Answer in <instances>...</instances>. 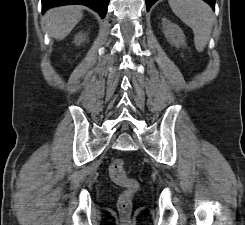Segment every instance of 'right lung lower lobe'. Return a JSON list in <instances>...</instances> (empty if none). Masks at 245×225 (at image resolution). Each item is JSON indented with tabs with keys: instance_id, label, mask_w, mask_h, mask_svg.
I'll return each instance as SVG.
<instances>
[{
	"instance_id": "right-lung-lower-lobe-1",
	"label": "right lung lower lobe",
	"mask_w": 245,
	"mask_h": 225,
	"mask_svg": "<svg viewBox=\"0 0 245 225\" xmlns=\"http://www.w3.org/2000/svg\"><path fill=\"white\" fill-rule=\"evenodd\" d=\"M68 4L86 5L98 12L101 18H104L109 0H42V11L45 12L49 8Z\"/></svg>"
}]
</instances>
